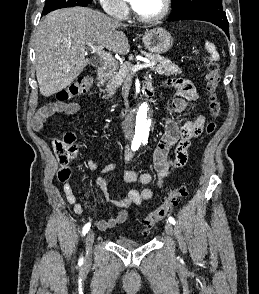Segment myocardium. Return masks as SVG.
Masks as SVG:
<instances>
[{
    "mask_svg": "<svg viewBox=\"0 0 259 294\" xmlns=\"http://www.w3.org/2000/svg\"><path fill=\"white\" fill-rule=\"evenodd\" d=\"M171 5H172V1L171 0H163V8L162 11L155 15V16H151V17H146V16H142L140 15L134 7H132V12L134 17L142 23H156L159 22L161 20H163L164 18H166L168 16V14L170 13L171 10Z\"/></svg>",
    "mask_w": 259,
    "mask_h": 294,
    "instance_id": "f54148a6",
    "label": "myocardium"
}]
</instances>
